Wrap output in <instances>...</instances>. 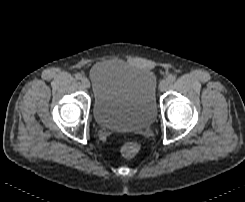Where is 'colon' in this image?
<instances>
[{"mask_svg":"<svg viewBox=\"0 0 245 202\" xmlns=\"http://www.w3.org/2000/svg\"><path fill=\"white\" fill-rule=\"evenodd\" d=\"M140 151L138 143L134 141H126L120 147V152L123 157L131 159L134 158Z\"/></svg>","mask_w":245,"mask_h":202,"instance_id":"1","label":"colon"}]
</instances>
